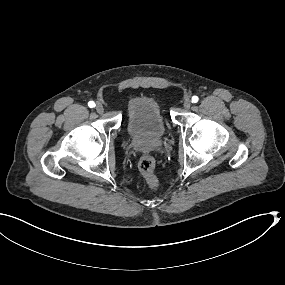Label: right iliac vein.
Wrapping results in <instances>:
<instances>
[{
    "label": "right iliac vein",
    "instance_id": "obj_1",
    "mask_svg": "<svg viewBox=\"0 0 285 285\" xmlns=\"http://www.w3.org/2000/svg\"><path fill=\"white\" fill-rule=\"evenodd\" d=\"M96 111H97L99 114H101V113L104 112V107H103V105H102L101 103H98V104L96 105Z\"/></svg>",
    "mask_w": 285,
    "mask_h": 285
}]
</instances>
